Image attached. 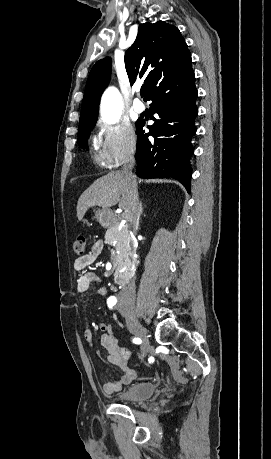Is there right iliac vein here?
Instances as JSON below:
<instances>
[{
  "mask_svg": "<svg viewBox=\"0 0 271 459\" xmlns=\"http://www.w3.org/2000/svg\"><path fill=\"white\" fill-rule=\"evenodd\" d=\"M121 313L126 319L127 325L132 333L136 336L143 338V346H142V359H144L149 350V340L145 338V332L143 326L140 324L139 320L137 319L134 310L128 308H120Z\"/></svg>",
  "mask_w": 271,
  "mask_h": 459,
  "instance_id": "1",
  "label": "right iliac vein"
}]
</instances>
